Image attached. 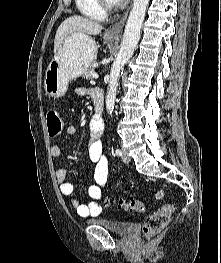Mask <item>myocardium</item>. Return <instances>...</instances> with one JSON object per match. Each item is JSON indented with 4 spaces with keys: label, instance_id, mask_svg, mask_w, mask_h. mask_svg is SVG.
Listing matches in <instances>:
<instances>
[{
    "label": "myocardium",
    "instance_id": "obj_1",
    "mask_svg": "<svg viewBox=\"0 0 221 263\" xmlns=\"http://www.w3.org/2000/svg\"><path fill=\"white\" fill-rule=\"evenodd\" d=\"M100 6L105 10H112L115 8V3L111 0H97Z\"/></svg>",
    "mask_w": 221,
    "mask_h": 263
}]
</instances>
